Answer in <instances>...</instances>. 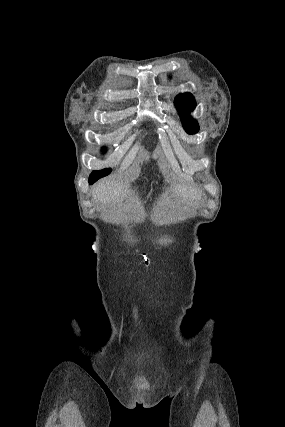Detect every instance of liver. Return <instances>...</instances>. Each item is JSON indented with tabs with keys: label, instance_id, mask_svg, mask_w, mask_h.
I'll use <instances>...</instances> for the list:
<instances>
[{
	"label": "liver",
	"instance_id": "6515ba94",
	"mask_svg": "<svg viewBox=\"0 0 285 427\" xmlns=\"http://www.w3.org/2000/svg\"><path fill=\"white\" fill-rule=\"evenodd\" d=\"M131 195L126 184L110 180L97 184L92 191L93 198L105 205L131 199ZM173 195L183 200L193 201L199 199L200 192L189 185L177 184Z\"/></svg>",
	"mask_w": 285,
	"mask_h": 427
}]
</instances>
